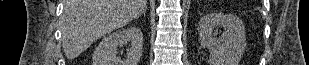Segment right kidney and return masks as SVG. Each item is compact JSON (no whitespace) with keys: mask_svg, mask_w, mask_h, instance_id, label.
<instances>
[{"mask_svg":"<svg viewBox=\"0 0 309 65\" xmlns=\"http://www.w3.org/2000/svg\"><path fill=\"white\" fill-rule=\"evenodd\" d=\"M130 43L127 57H117L118 46ZM143 52V33L135 26L104 37L93 54V65H137Z\"/></svg>","mask_w":309,"mask_h":65,"instance_id":"obj_1","label":"right kidney"}]
</instances>
